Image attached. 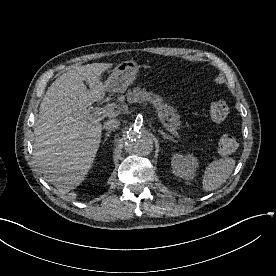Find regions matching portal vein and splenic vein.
<instances>
[{"mask_svg": "<svg viewBox=\"0 0 276 276\" xmlns=\"http://www.w3.org/2000/svg\"><path fill=\"white\" fill-rule=\"evenodd\" d=\"M88 112V117L91 121L93 122H99L101 121L103 118L107 117V116H113L115 114L114 112V108L111 105H108L104 108L101 107H96L94 109V112L92 114H89V110H87ZM158 117L160 119V122L163 124V126L172 134H174L175 136H178V133L176 132V130L174 128H172L169 124H167L165 122L164 116L161 113H158Z\"/></svg>", "mask_w": 276, "mask_h": 276, "instance_id": "18ae733b", "label": "portal vein and splenic vein"}]
</instances>
